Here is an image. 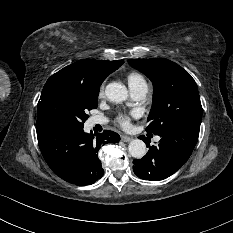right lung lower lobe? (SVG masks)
<instances>
[{"label": "right lung lower lobe", "mask_w": 233, "mask_h": 233, "mask_svg": "<svg viewBox=\"0 0 233 233\" xmlns=\"http://www.w3.org/2000/svg\"><path fill=\"white\" fill-rule=\"evenodd\" d=\"M36 131L39 148L52 171L79 186L93 184L103 176L98 150L120 140L115 132L105 130L95 137L85 133L83 127L49 124L37 126Z\"/></svg>", "instance_id": "98d812e1"}]
</instances>
